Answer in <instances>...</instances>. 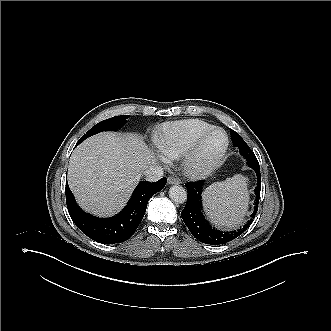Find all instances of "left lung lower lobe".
I'll use <instances>...</instances> for the list:
<instances>
[{
    "label": "left lung lower lobe",
    "mask_w": 331,
    "mask_h": 331,
    "mask_svg": "<svg viewBox=\"0 0 331 331\" xmlns=\"http://www.w3.org/2000/svg\"><path fill=\"white\" fill-rule=\"evenodd\" d=\"M231 139L235 147H238L239 149L243 147L244 142L240 138L231 136ZM247 164L256 172L258 181L257 187L255 188L257 197L255 202L256 209L251 215V217L254 218L258 209V201L261 190L260 168L259 164H253L250 162H247ZM203 184V181L189 182L186 184V187L188 188V198L186 206L181 212L182 219L187 225L191 234L202 243L220 245L230 242L240 236L244 231H246L253 220L250 219V221H248L242 228L236 231L222 232L212 228L209 223L203 218L201 213V193Z\"/></svg>",
    "instance_id": "left-lung-lower-lobe-1"
}]
</instances>
